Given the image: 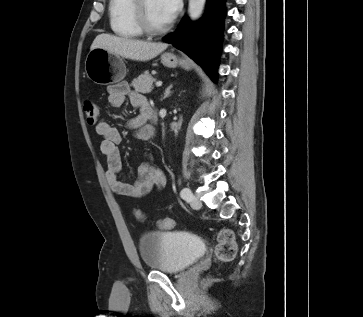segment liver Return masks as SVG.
<instances>
[{
	"instance_id": "1",
	"label": "liver",
	"mask_w": 363,
	"mask_h": 317,
	"mask_svg": "<svg viewBox=\"0 0 363 317\" xmlns=\"http://www.w3.org/2000/svg\"><path fill=\"white\" fill-rule=\"evenodd\" d=\"M167 47L168 44L166 43L148 42L102 33L94 39L90 50L103 48L127 59L148 61L155 58Z\"/></svg>"
}]
</instances>
